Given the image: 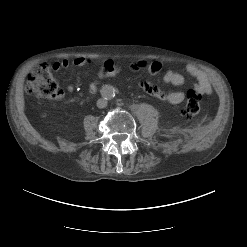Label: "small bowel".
Wrapping results in <instances>:
<instances>
[{
    "mask_svg": "<svg viewBox=\"0 0 247 247\" xmlns=\"http://www.w3.org/2000/svg\"><path fill=\"white\" fill-rule=\"evenodd\" d=\"M70 64L71 63L65 59L62 60L61 62L54 63L52 65V69L54 71H58L60 69H66L70 66ZM72 65L76 67H89L91 65V60L88 58L78 57L72 61ZM132 68L135 70L144 68L148 70L150 73L156 74L161 71L162 66L159 62L156 61L153 62L139 61V62H134L132 64ZM186 71L189 75L195 78L196 80L195 89L201 95L210 96L212 94V87L209 78L204 71H202L194 64H188L186 67ZM163 80L165 83L172 84L174 86H180L185 83V76L179 72L173 70H167L163 74ZM140 87L144 89L147 93L151 94L152 96L162 101L169 102L171 104H180L181 102L184 101L185 98L184 93L181 91H176L173 89L163 91L158 87L147 82H141ZM66 90L68 92H72L74 90V87L72 85H68ZM89 90L91 93L96 92L97 83L96 82L92 83L89 87Z\"/></svg>",
    "mask_w": 247,
    "mask_h": 247,
    "instance_id": "small-bowel-1",
    "label": "small bowel"
}]
</instances>
